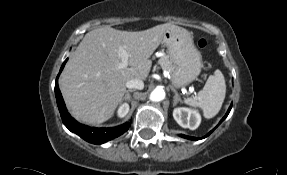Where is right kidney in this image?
I'll use <instances>...</instances> for the list:
<instances>
[{"label":"right kidney","mask_w":287,"mask_h":175,"mask_svg":"<svg viewBox=\"0 0 287 175\" xmlns=\"http://www.w3.org/2000/svg\"><path fill=\"white\" fill-rule=\"evenodd\" d=\"M129 111V105L127 103H123L118 109V116L123 118Z\"/></svg>","instance_id":"right-kidney-1"}]
</instances>
